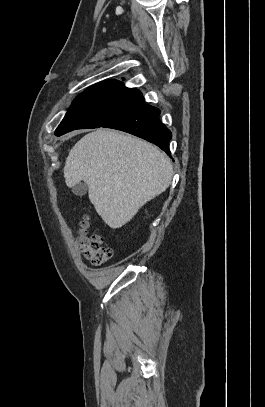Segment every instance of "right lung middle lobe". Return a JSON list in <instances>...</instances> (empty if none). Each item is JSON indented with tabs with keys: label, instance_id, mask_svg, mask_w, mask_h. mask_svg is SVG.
Returning <instances> with one entry per match:
<instances>
[{
	"label": "right lung middle lobe",
	"instance_id": "1",
	"mask_svg": "<svg viewBox=\"0 0 265 407\" xmlns=\"http://www.w3.org/2000/svg\"><path fill=\"white\" fill-rule=\"evenodd\" d=\"M144 103L142 93L109 80L81 93L56 129L60 136L75 129L103 127Z\"/></svg>",
	"mask_w": 265,
	"mask_h": 407
}]
</instances>
